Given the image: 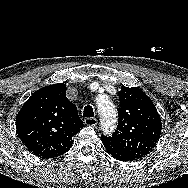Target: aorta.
I'll return each instance as SVG.
<instances>
[{"label":"aorta","mask_w":188,"mask_h":188,"mask_svg":"<svg viewBox=\"0 0 188 188\" xmlns=\"http://www.w3.org/2000/svg\"><path fill=\"white\" fill-rule=\"evenodd\" d=\"M98 112L100 115V126L105 134H111L117 123V112L114 104L101 96L97 101Z\"/></svg>","instance_id":"1"}]
</instances>
